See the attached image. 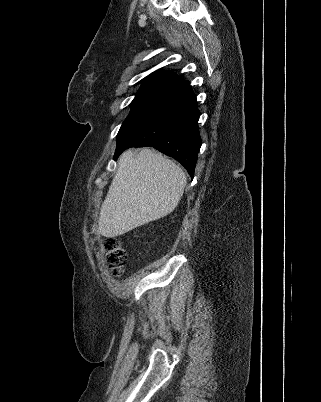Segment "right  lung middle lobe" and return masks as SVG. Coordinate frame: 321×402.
<instances>
[{"mask_svg": "<svg viewBox=\"0 0 321 402\" xmlns=\"http://www.w3.org/2000/svg\"><path fill=\"white\" fill-rule=\"evenodd\" d=\"M173 89V87L160 84L142 86L130 104L132 111L122 124L118 132V136L143 115L160 104L172 92Z\"/></svg>", "mask_w": 321, "mask_h": 402, "instance_id": "1", "label": "right lung middle lobe"}]
</instances>
